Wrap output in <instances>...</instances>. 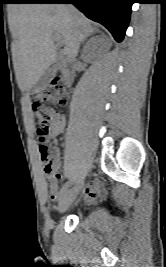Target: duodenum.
<instances>
[{
  "label": "duodenum",
  "instance_id": "1",
  "mask_svg": "<svg viewBox=\"0 0 166 267\" xmlns=\"http://www.w3.org/2000/svg\"><path fill=\"white\" fill-rule=\"evenodd\" d=\"M74 68L72 65H65L61 69V76L66 84H71L74 79Z\"/></svg>",
  "mask_w": 166,
  "mask_h": 267
}]
</instances>
